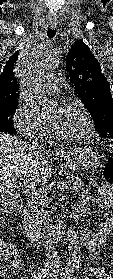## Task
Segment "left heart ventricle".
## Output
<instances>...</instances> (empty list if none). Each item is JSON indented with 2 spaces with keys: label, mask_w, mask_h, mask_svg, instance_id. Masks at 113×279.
Listing matches in <instances>:
<instances>
[{
  "label": "left heart ventricle",
  "mask_w": 113,
  "mask_h": 279,
  "mask_svg": "<svg viewBox=\"0 0 113 279\" xmlns=\"http://www.w3.org/2000/svg\"><path fill=\"white\" fill-rule=\"evenodd\" d=\"M46 121L61 135L72 136L80 133L84 126L80 111L73 106L52 107Z\"/></svg>",
  "instance_id": "1"
}]
</instances>
